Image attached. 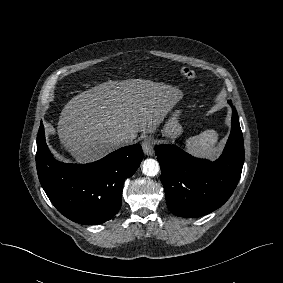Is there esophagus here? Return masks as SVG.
<instances>
[{
    "label": "esophagus",
    "mask_w": 283,
    "mask_h": 283,
    "mask_svg": "<svg viewBox=\"0 0 283 283\" xmlns=\"http://www.w3.org/2000/svg\"><path fill=\"white\" fill-rule=\"evenodd\" d=\"M153 146L154 140L151 137H147L142 141L143 151L148 156H152L154 154Z\"/></svg>",
    "instance_id": "obj_1"
}]
</instances>
